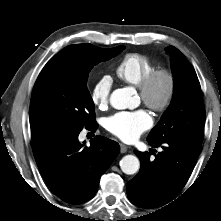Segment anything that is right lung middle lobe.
<instances>
[{"mask_svg": "<svg viewBox=\"0 0 221 221\" xmlns=\"http://www.w3.org/2000/svg\"><path fill=\"white\" fill-rule=\"evenodd\" d=\"M124 46L101 49L91 44L65 47L39 74L30 102L31 130L59 126L83 129L96 124L94 103L87 89L90 70L116 56Z\"/></svg>", "mask_w": 221, "mask_h": 221, "instance_id": "right-lung-middle-lobe-1", "label": "right lung middle lobe"}]
</instances>
